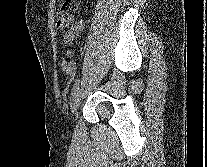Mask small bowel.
Instances as JSON below:
<instances>
[{
    "mask_svg": "<svg viewBox=\"0 0 207 167\" xmlns=\"http://www.w3.org/2000/svg\"><path fill=\"white\" fill-rule=\"evenodd\" d=\"M82 28H83V23L78 22L75 27L72 38L64 37V43L66 45H69L73 41V39L80 33ZM72 56H73V51L71 49H68L65 52V57L61 64L62 69L68 74H74L76 71V62L72 59Z\"/></svg>",
    "mask_w": 207,
    "mask_h": 167,
    "instance_id": "1",
    "label": "small bowel"
}]
</instances>
